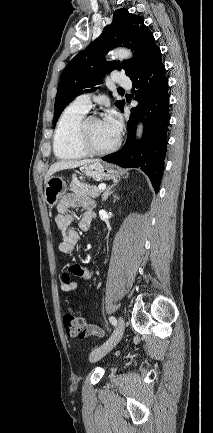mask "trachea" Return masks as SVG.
I'll return each instance as SVG.
<instances>
[{
	"label": "trachea",
	"instance_id": "obj_1",
	"mask_svg": "<svg viewBox=\"0 0 213 433\" xmlns=\"http://www.w3.org/2000/svg\"><path fill=\"white\" fill-rule=\"evenodd\" d=\"M119 90H121V91H122L123 89H122V88H119Z\"/></svg>",
	"mask_w": 213,
	"mask_h": 433
}]
</instances>
